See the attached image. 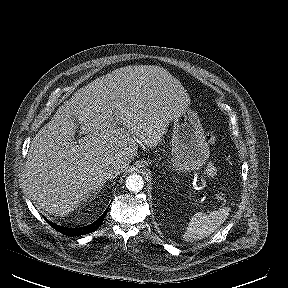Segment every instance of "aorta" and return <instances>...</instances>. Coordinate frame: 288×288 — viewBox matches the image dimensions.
I'll return each mask as SVG.
<instances>
[{
	"label": "aorta",
	"mask_w": 288,
	"mask_h": 288,
	"mask_svg": "<svg viewBox=\"0 0 288 288\" xmlns=\"http://www.w3.org/2000/svg\"><path fill=\"white\" fill-rule=\"evenodd\" d=\"M144 186L143 178L140 175L133 174L126 179V188L131 192H139Z\"/></svg>",
	"instance_id": "obj_1"
}]
</instances>
